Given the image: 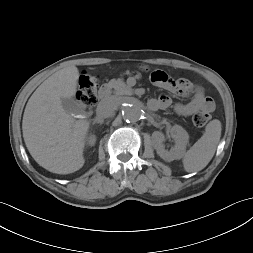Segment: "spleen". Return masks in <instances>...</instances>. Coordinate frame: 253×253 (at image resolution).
Wrapping results in <instances>:
<instances>
[{
    "mask_svg": "<svg viewBox=\"0 0 253 253\" xmlns=\"http://www.w3.org/2000/svg\"><path fill=\"white\" fill-rule=\"evenodd\" d=\"M221 137V122L210 121L202 137L184 154L183 165L186 172L204 169L213 158Z\"/></svg>",
    "mask_w": 253,
    "mask_h": 253,
    "instance_id": "1",
    "label": "spleen"
}]
</instances>
